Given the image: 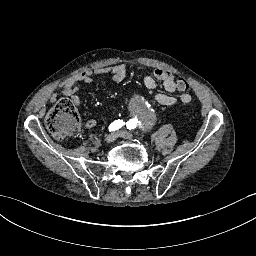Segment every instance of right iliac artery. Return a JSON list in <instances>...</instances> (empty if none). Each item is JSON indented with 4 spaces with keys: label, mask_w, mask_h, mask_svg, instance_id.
Masks as SVG:
<instances>
[{
    "label": "right iliac artery",
    "mask_w": 256,
    "mask_h": 256,
    "mask_svg": "<svg viewBox=\"0 0 256 256\" xmlns=\"http://www.w3.org/2000/svg\"><path fill=\"white\" fill-rule=\"evenodd\" d=\"M124 121L123 120H115L113 123L110 124L109 126V131H115L118 130L119 128H121L124 125Z\"/></svg>",
    "instance_id": "82829eb1"
}]
</instances>
